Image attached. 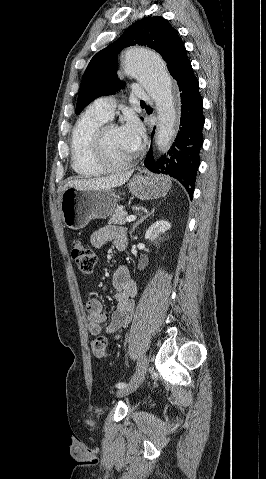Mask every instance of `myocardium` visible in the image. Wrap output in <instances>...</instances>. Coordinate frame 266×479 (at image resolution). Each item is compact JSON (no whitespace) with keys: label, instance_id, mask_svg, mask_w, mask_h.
<instances>
[{"label":"myocardium","instance_id":"f54148a6","mask_svg":"<svg viewBox=\"0 0 266 479\" xmlns=\"http://www.w3.org/2000/svg\"><path fill=\"white\" fill-rule=\"evenodd\" d=\"M113 129H119L116 124L113 123H106L101 125L94 133L93 140H92V159L93 161L101 167L104 171L108 172H116L121 171L128 168L134 160V156L132 155L128 160L122 163H113L111 162L105 153V137L106 134Z\"/></svg>","mask_w":266,"mask_h":479}]
</instances>
